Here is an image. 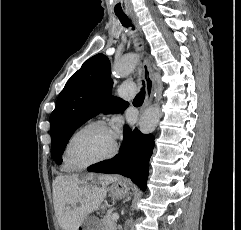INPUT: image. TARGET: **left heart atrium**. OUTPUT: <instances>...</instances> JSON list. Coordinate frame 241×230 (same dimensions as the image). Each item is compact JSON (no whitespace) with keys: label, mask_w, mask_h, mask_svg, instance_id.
Listing matches in <instances>:
<instances>
[{"label":"left heart atrium","mask_w":241,"mask_h":230,"mask_svg":"<svg viewBox=\"0 0 241 230\" xmlns=\"http://www.w3.org/2000/svg\"><path fill=\"white\" fill-rule=\"evenodd\" d=\"M109 132L114 140H116L120 135L122 131V121L119 117H114L109 126Z\"/></svg>","instance_id":"1"}]
</instances>
